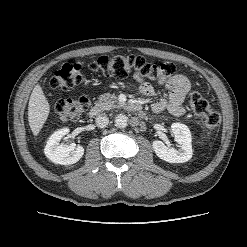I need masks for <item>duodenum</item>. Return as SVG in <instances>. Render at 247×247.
Wrapping results in <instances>:
<instances>
[{
    "label": "duodenum",
    "mask_w": 247,
    "mask_h": 247,
    "mask_svg": "<svg viewBox=\"0 0 247 247\" xmlns=\"http://www.w3.org/2000/svg\"><path fill=\"white\" fill-rule=\"evenodd\" d=\"M127 109L132 112H141L142 106L139 103H130L127 105ZM103 112V107L101 104L93 105L89 110V116L94 117L100 115Z\"/></svg>",
    "instance_id": "1"
}]
</instances>
